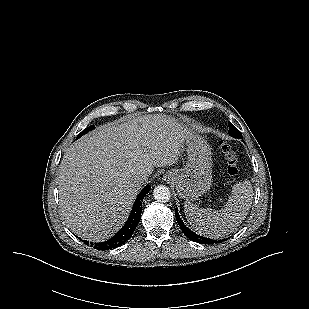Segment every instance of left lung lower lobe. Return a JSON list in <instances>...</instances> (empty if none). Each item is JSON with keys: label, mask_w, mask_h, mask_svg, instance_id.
<instances>
[{"label": "left lung lower lobe", "mask_w": 309, "mask_h": 309, "mask_svg": "<svg viewBox=\"0 0 309 309\" xmlns=\"http://www.w3.org/2000/svg\"><path fill=\"white\" fill-rule=\"evenodd\" d=\"M175 216H176V220L179 224V226L181 227V230L183 231V233L190 239L193 240L194 242H198L200 244H214V243H219L224 241L223 240H212V239H208L205 237H201L195 233H193L184 223L183 221L180 219L177 208L175 209Z\"/></svg>", "instance_id": "0a47b994"}]
</instances>
